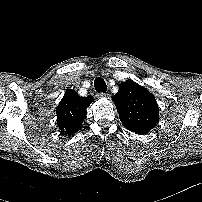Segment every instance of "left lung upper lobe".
Instances as JSON below:
<instances>
[{"label": "left lung upper lobe", "mask_w": 202, "mask_h": 202, "mask_svg": "<svg viewBox=\"0 0 202 202\" xmlns=\"http://www.w3.org/2000/svg\"><path fill=\"white\" fill-rule=\"evenodd\" d=\"M122 124L136 134H146L156 126L159 110L154 96L133 80L122 82L113 97Z\"/></svg>", "instance_id": "1"}]
</instances>
